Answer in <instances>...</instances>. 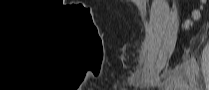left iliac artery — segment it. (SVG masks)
I'll return each instance as SVG.
<instances>
[{
  "label": "left iliac artery",
  "mask_w": 209,
  "mask_h": 90,
  "mask_svg": "<svg viewBox=\"0 0 209 90\" xmlns=\"http://www.w3.org/2000/svg\"><path fill=\"white\" fill-rule=\"evenodd\" d=\"M190 62H191V66H192V69H193V73L196 76H198V74H199V67H198L196 59L193 56H191Z\"/></svg>",
  "instance_id": "obj_1"
}]
</instances>
